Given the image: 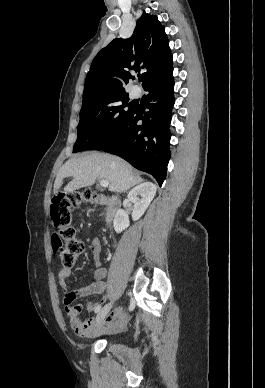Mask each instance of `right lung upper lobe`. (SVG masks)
I'll list each match as a JSON object with an SVG mask.
<instances>
[{"label": "right lung upper lobe", "mask_w": 265, "mask_h": 388, "mask_svg": "<svg viewBox=\"0 0 265 388\" xmlns=\"http://www.w3.org/2000/svg\"><path fill=\"white\" fill-rule=\"evenodd\" d=\"M141 69L145 71L144 88L173 71L165 29L157 16L145 12L130 38H116L96 55L86 77L83 98L105 90H124L134 79L131 71Z\"/></svg>", "instance_id": "cb5924a9"}]
</instances>
